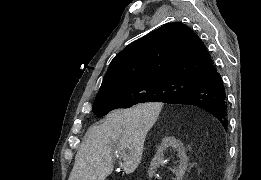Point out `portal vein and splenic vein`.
Segmentation results:
<instances>
[{
    "label": "portal vein and splenic vein",
    "instance_id": "1",
    "mask_svg": "<svg viewBox=\"0 0 261 180\" xmlns=\"http://www.w3.org/2000/svg\"><path fill=\"white\" fill-rule=\"evenodd\" d=\"M125 150H129V148H125Z\"/></svg>",
    "mask_w": 261,
    "mask_h": 180
}]
</instances>
